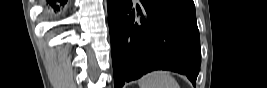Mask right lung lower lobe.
Listing matches in <instances>:
<instances>
[{
  "instance_id": "1",
  "label": "right lung lower lobe",
  "mask_w": 267,
  "mask_h": 88,
  "mask_svg": "<svg viewBox=\"0 0 267 88\" xmlns=\"http://www.w3.org/2000/svg\"><path fill=\"white\" fill-rule=\"evenodd\" d=\"M67 2V0H49L48 5L51 9V12H57L60 11V8L62 5H64Z\"/></svg>"
}]
</instances>
